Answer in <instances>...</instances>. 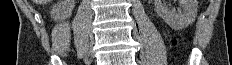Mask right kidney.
I'll return each mask as SVG.
<instances>
[{"instance_id": "1", "label": "right kidney", "mask_w": 232, "mask_h": 65, "mask_svg": "<svg viewBox=\"0 0 232 65\" xmlns=\"http://www.w3.org/2000/svg\"><path fill=\"white\" fill-rule=\"evenodd\" d=\"M74 6V0H60L53 6L50 12L51 17L55 19V21L69 18L72 14Z\"/></svg>"}]
</instances>
